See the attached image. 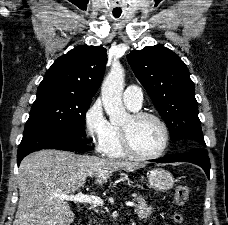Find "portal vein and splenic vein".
<instances>
[{"label":"portal vein and splenic vein","instance_id":"18ae733b","mask_svg":"<svg viewBox=\"0 0 228 225\" xmlns=\"http://www.w3.org/2000/svg\"><path fill=\"white\" fill-rule=\"evenodd\" d=\"M59 199H65V201H76V203H93V205H99L102 207L104 201L100 197H88L84 195V192L81 189L77 190V195H56ZM128 207H133L134 203H126Z\"/></svg>","mask_w":228,"mask_h":225}]
</instances>
